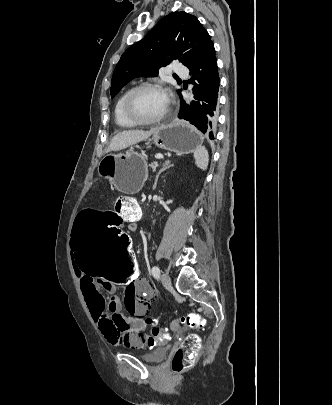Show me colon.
<instances>
[{
	"mask_svg": "<svg viewBox=\"0 0 332 405\" xmlns=\"http://www.w3.org/2000/svg\"><path fill=\"white\" fill-rule=\"evenodd\" d=\"M116 211H97L90 205L81 211V220H74L75 261L79 262L83 275H98L99 281H113L114 287H131L132 281L139 280V266L134 259V234L125 231L121 222L139 209L130 196L120 195L115 203ZM118 217V218H117ZM117 219V220H116ZM163 310H152L146 316V325H151L149 333H139L145 342L140 344L142 351H156L158 345L168 341V326L163 325ZM209 315L191 313L180 318L182 326L201 328L209 324ZM200 337L188 335L176 348L172 356V368L181 372L189 368L200 348Z\"/></svg>",
	"mask_w": 332,
	"mask_h": 405,
	"instance_id": "colon-1",
	"label": "colon"
}]
</instances>
